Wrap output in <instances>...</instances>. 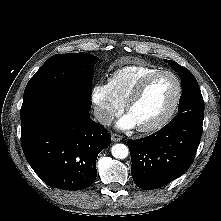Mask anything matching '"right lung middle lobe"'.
I'll list each match as a JSON object with an SVG mask.
<instances>
[{
    "instance_id": "obj_1",
    "label": "right lung middle lobe",
    "mask_w": 221,
    "mask_h": 221,
    "mask_svg": "<svg viewBox=\"0 0 221 221\" xmlns=\"http://www.w3.org/2000/svg\"><path fill=\"white\" fill-rule=\"evenodd\" d=\"M95 60L88 53L51 56L29 80L20 118L51 101H69L90 109Z\"/></svg>"
}]
</instances>
